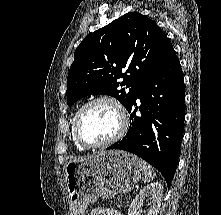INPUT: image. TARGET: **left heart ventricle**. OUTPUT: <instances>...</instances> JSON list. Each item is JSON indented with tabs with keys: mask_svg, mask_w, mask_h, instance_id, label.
I'll list each match as a JSON object with an SVG mask.
<instances>
[{
	"mask_svg": "<svg viewBox=\"0 0 221 215\" xmlns=\"http://www.w3.org/2000/svg\"><path fill=\"white\" fill-rule=\"evenodd\" d=\"M120 117L116 108L108 102L89 106L80 121V133L90 143H99L111 138L118 130Z\"/></svg>",
	"mask_w": 221,
	"mask_h": 215,
	"instance_id": "obj_1",
	"label": "left heart ventricle"
}]
</instances>
